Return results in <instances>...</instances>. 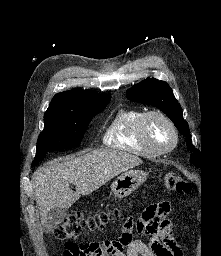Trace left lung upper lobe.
I'll return each mask as SVG.
<instances>
[{
    "instance_id": "1",
    "label": "left lung upper lobe",
    "mask_w": 221,
    "mask_h": 256,
    "mask_svg": "<svg viewBox=\"0 0 221 256\" xmlns=\"http://www.w3.org/2000/svg\"><path fill=\"white\" fill-rule=\"evenodd\" d=\"M127 98L134 102L151 104L166 113L174 122V125L178 128L179 132L187 137V147L194 151L190 155L191 163L201 168L202 155L191 143L192 140L189 126L183 119L182 108L174 97L172 89L166 82L148 77L128 89Z\"/></svg>"
}]
</instances>
